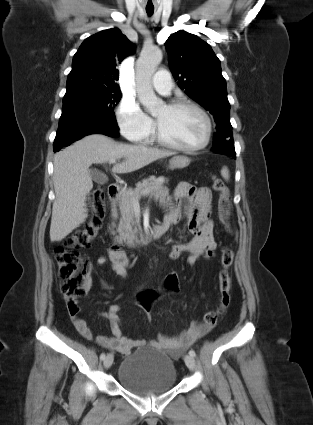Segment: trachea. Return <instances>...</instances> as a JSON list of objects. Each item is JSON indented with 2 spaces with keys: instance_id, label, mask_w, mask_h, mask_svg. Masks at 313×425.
Wrapping results in <instances>:
<instances>
[{
  "instance_id": "3493384b",
  "label": "trachea",
  "mask_w": 313,
  "mask_h": 425,
  "mask_svg": "<svg viewBox=\"0 0 313 425\" xmlns=\"http://www.w3.org/2000/svg\"><path fill=\"white\" fill-rule=\"evenodd\" d=\"M146 12H147V14L149 15V16H151L152 14H153V12H154V9H150V8H146Z\"/></svg>"
}]
</instances>
